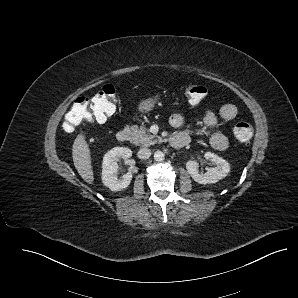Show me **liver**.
Returning <instances> with one entry per match:
<instances>
[{"label": "liver", "instance_id": "liver-1", "mask_svg": "<svg viewBox=\"0 0 298 298\" xmlns=\"http://www.w3.org/2000/svg\"><path fill=\"white\" fill-rule=\"evenodd\" d=\"M72 157L80 176L87 182H92L93 175L89 160V151L83 137L79 135L73 144Z\"/></svg>", "mask_w": 298, "mask_h": 298}]
</instances>
